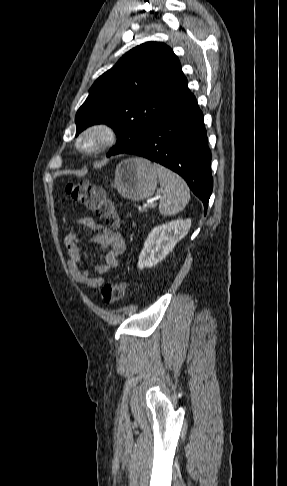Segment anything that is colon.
<instances>
[{"instance_id": "obj_1", "label": "colon", "mask_w": 287, "mask_h": 486, "mask_svg": "<svg viewBox=\"0 0 287 486\" xmlns=\"http://www.w3.org/2000/svg\"><path fill=\"white\" fill-rule=\"evenodd\" d=\"M65 191L72 199L93 212L95 216L104 219L109 227L118 226L119 220L114 205L101 186L83 180L78 183L67 184ZM125 291L126 284L124 282L111 281L102 287L101 297L105 304H114L123 299Z\"/></svg>"}]
</instances>
